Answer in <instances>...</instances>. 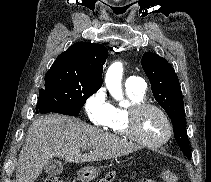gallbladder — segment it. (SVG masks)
I'll use <instances>...</instances> for the list:
<instances>
[{
  "mask_svg": "<svg viewBox=\"0 0 211 182\" xmlns=\"http://www.w3.org/2000/svg\"><path fill=\"white\" fill-rule=\"evenodd\" d=\"M46 173L56 176L60 175L63 171V165L60 160L51 159L44 167Z\"/></svg>",
  "mask_w": 211,
  "mask_h": 182,
  "instance_id": "gallbladder-1",
  "label": "gallbladder"
}]
</instances>
